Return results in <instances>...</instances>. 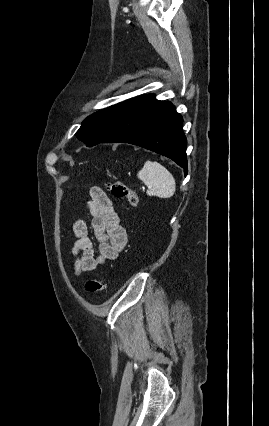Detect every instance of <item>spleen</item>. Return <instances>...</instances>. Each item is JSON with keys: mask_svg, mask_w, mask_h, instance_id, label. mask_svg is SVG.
Returning a JSON list of instances; mask_svg holds the SVG:
<instances>
[{"mask_svg": "<svg viewBox=\"0 0 269 426\" xmlns=\"http://www.w3.org/2000/svg\"><path fill=\"white\" fill-rule=\"evenodd\" d=\"M137 177L148 187L147 195L170 198L176 190L172 174L156 161H146Z\"/></svg>", "mask_w": 269, "mask_h": 426, "instance_id": "obj_1", "label": "spleen"}]
</instances>
